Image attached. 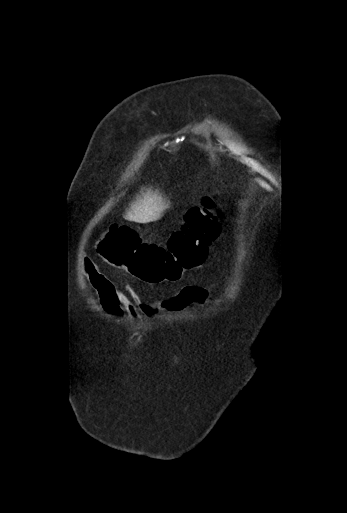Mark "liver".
<instances>
[{
  "label": "liver",
  "mask_w": 347,
  "mask_h": 513,
  "mask_svg": "<svg viewBox=\"0 0 347 513\" xmlns=\"http://www.w3.org/2000/svg\"><path fill=\"white\" fill-rule=\"evenodd\" d=\"M166 207L165 201L158 195V192L152 193L148 191L147 194L144 195L143 200L140 199L131 206V211L127 212L125 218L130 220L133 217L132 212L139 216L142 215L145 218H154L159 216Z\"/></svg>",
  "instance_id": "obj_1"
}]
</instances>
